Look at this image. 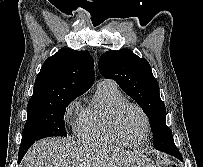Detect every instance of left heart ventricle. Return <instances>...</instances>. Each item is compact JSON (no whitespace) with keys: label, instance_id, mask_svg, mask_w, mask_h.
I'll return each mask as SVG.
<instances>
[{"label":"left heart ventricle","instance_id":"obj_1","mask_svg":"<svg viewBox=\"0 0 203 167\" xmlns=\"http://www.w3.org/2000/svg\"><path fill=\"white\" fill-rule=\"evenodd\" d=\"M118 128L121 134L130 142H139L145 134V124L142 115L135 108H127L120 115Z\"/></svg>","mask_w":203,"mask_h":167}]
</instances>
